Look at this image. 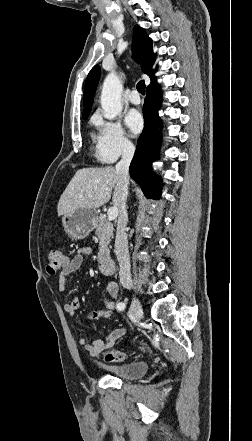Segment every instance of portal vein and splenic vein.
Here are the masks:
<instances>
[{"label":"portal vein and splenic vein","mask_w":252,"mask_h":441,"mask_svg":"<svg viewBox=\"0 0 252 441\" xmlns=\"http://www.w3.org/2000/svg\"><path fill=\"white\" fill-rule=\"evenodd\" d=\"M118 216V209L116 207L109 208L107 217L109 221L115 220Z\"/></svg>","instance_id":"18ae733b"}]
</instances>
